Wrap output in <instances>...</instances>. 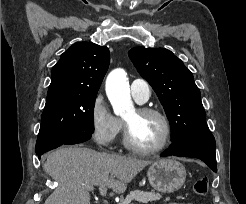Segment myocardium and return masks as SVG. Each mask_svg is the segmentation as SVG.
I'll use <instances>...</instances> for the list:
<instances>
[{
    "label": "myocardium",
    "instance_id": "obj_1",
    "mask_svg": "<svg viewBox=\"0 0 246 204\" xmlns=\"http://www.w3.org/2000/svg\"><path fill=\"white\" fill-rule=\"evenodd\" d=\"M137 112L141 115H155L158 118H160L164 124L163 138L161 142L155 147H151V148L140 147L133 142L131 138L129 125L127 124L126 121H124L123 142L125 147L135 153L142 154V155H151L162 151L168 145L172 135V126L169 118L165 113H163L159 109L152 108V107H140L137 109Z\"/></svg>",
    "mask_w": 246,
    "mask_h": 204
}]
</instances>
